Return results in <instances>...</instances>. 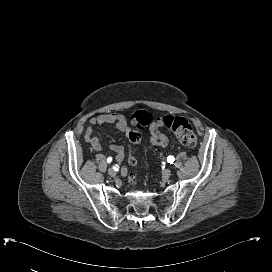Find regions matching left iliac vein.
<instances>
[{"label": "left iliac vein", "instance_id": "obj_1", "mask_svg": "<svg viewBox=\"0 0 272 272\" xmlns=\"http://www.w3.org/2000/svg\"><path fill=\"white\" fill-rule=\"evenodd\" d=\"M170 175H171V170H170V169H164V170L162 171V177H163V178L167 179V178L170 177Z\"/></svg>", "mask_w": 272, "mask_h": 272}]
</instances>
